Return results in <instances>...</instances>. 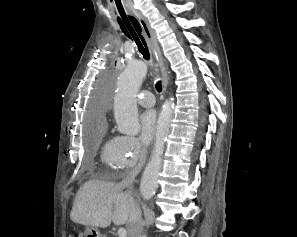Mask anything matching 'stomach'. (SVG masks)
<instances>
[{
    "label": "stomach",
    "instance_id": "1",
    "mask_svg": "<svg viewBox=\"0 0 297 237\" xmlns=\"http://www.w3.org/2000/svg\"><path fill=\"white\" fill-rule=\"evenodd\" d=\"M85 237H104L96 227L87 226L85 229Z\"/></svg>",
    "mask_w": 297,
    "mask_h": 237
}]
</instances>
